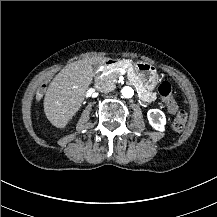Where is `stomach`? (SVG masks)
Masks as SVG:
<instances>
[{
    "instance_id": "stomach-1",
    "label": "stomach",
    "mask_w": 217,
    "mask_h": 217,
    "mask_svg": "<svg viewBox=\"0 0 217 217\" xmlns=\"http://www.w3.org/2000/svg\"><path fill=\"white\" fill-rule=\"evenodd\" d=\"M134 70L142 80L144 88L147 91H153L158 84V75L155 66L145 62H136L134 64Z\"/></svg>"
}]
</instances>
